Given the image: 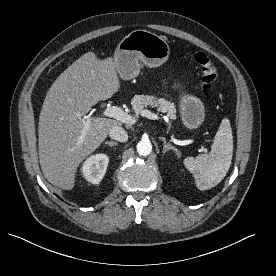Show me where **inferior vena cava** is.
Returning a JSON list of instances; mask_svg holds the SVG:
<instances>
[{"instance_id": "602c4592", "label": "inferior vena cava", "mask_w": 276, "mask_h": 276, "mask_svg": "<svg viewBox=\"0 0 276 276\" xmlns=\"http://www.w3.org/2000/svg\"><path fill=\"white\" fill-rule=\"evenodd\" d=\"M109 136L111 139L119 142H126L128 140L127 132L119 126L112 127L109 131Z\"/></svg>"}]
</instances>
